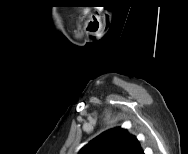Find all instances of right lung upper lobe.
I'll list each match as a JSON object with an SVG mask.
<instances>
[{
	"label": "right lung upper lobe",
	"instance_id": "right-lung-upper-lobe-1",
	"mask_svg": "<svg viewBox=\"0 0 188 154\" xmlns=\"http://www.w3.org/2000/svg\"><path fill=\"white\" fill-rule=\"evenodd\" d=\"M79 154H144L135 136L126 129L114 128L103 132L87 145Z\"/></svg>",
	"mask_w": 188,
	"mask_h": 154
}]
</instances>
